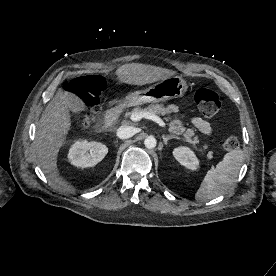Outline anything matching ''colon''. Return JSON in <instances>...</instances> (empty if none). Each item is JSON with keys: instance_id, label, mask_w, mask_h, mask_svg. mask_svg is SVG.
Returning <instances> with one entry per match:
<instances>
[{"instance_id": "1", "label": "colon", "mask_w": 276, "mask_h": 276, "mask_svg": "<svg viewBox=\"0 0 276 276\" xmlns=\"http://www.w3.org/2000/svg\"><path fill=\"white\" fill-rule=\"evenodd\" d=\"M104 87V81L95 76L75 78L68 83L67 89L83 100L79 123L85 128L93 123L99 112V95ZM194 100L200 112L206 117L215 116L220 109L218 94L209 88H199L194 95ZM223 146L227 151H235L239 148V141L235 136H229Z\"/></svg>"}]
</instances>
